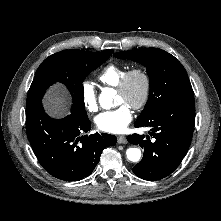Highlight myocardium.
Masks as SVG:
<instances>
[{"instance_id": "1", "label": "myocardium", "mask_w": 221, "mask_h": 221, "mask_svg": "<svg viewBox=\"0 0 221 221\" xmlns=\"http://www.w3.org/2000/svg\"><path fill=\"white\" fill-rule=\"evenodd\" d=\"M136 76L140 77L143 81V91L140 99L136 103L132 104L131 108L134 110H140L147 104L151 93V77L146 69L142 67L129 69L119 81L116 89L119 93H126L131 80Z\"/></svg>"}]
</instances>
